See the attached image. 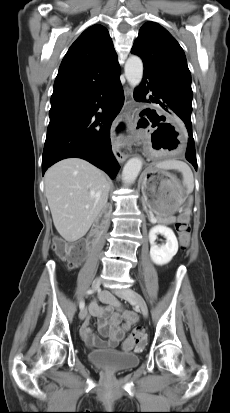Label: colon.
Listing matches in <instances>:
<instances>
[{
  "mask_svg": "<svg viewBox=\"0 0 230 413\" xmlns=\"http://www.w3.org/2000/svg\"><path fill=\"white\" fill-rule=\"evenodd\" d=\"M176 231L179 234L177 236V243L181 244L183 248L190 246L189 234L190 226L186 217H181L176 223ZM53 250L57 256L62 258L68 267L75 266L84 256L86 251V245L83 242L67 243L64 240H56L53 243ZM145 339V330L141 326L134 328L130 334L129 341L140 347Z\"/></svg>",
  "mask_w": 230,
  "mask_h": 413,
  "instance_id": "1",
  "label": "colon"
}]
</instances>
